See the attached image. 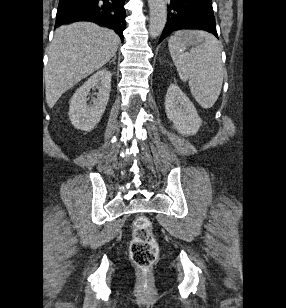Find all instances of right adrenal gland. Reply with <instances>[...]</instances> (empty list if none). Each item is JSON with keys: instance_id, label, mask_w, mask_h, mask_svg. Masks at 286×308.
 Listing matches in <instances>:
<instances>
[{"instance_id": "obj_1", "label": "right adrenal gland", "mask_w": 286, "mask_h": 308, "mask_svg": "<svg viewBox=\"0 0 286 308\" xmlns=\"http://www.w3.org/2000/svg\"><path fill=\"white\" fill-rule=\"evenodd\" d=\"M116 55H114L113 59L111 61H109V63H113V64H116Z\"/></svg>"}]
</instances>
